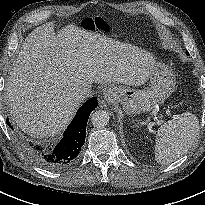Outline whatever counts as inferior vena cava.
<instances>
[{
	"label": "inferior vena cava",
	"instance_id": "1",
	"mask_svg": "<svg viewBox=\"0 0 205 205\" xmlns=\"http://www.w3.org/2000/svg\"><path fill=\"white\" fill-rule=\"evenodd\" d=\"M92 90L89 86H84L81 88L76 89L74 92V96L78 101H82L90 96Z\"/></svg>",
	"mask_w": 205,
	"mask_h": 205
}]
</instances>
